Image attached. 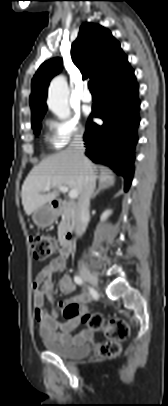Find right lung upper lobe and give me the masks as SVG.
<instances>
[{
	"label": "right lung upper lobe",
	"mask_w": 168,
	"mask_h": 406,
	"mask_svg": "<svg viewBox=\"0 0 168 406\" xmlns=\"http://www.w3.org/2000/svg\"><path fill=\"white\" fill-rule=\"evenodd\" d=\"M74 64L83 77H89L96 87L120 73L129 65L120 43L101 25L84 23L71 48ZM62 69V60L45 61L32 79L30 106L32 124L40 121L47 106L46 97L50 80Z\"/></svg>",
	"instance_id": "right-lung-upper-lobe-1"
}]
</instances>
